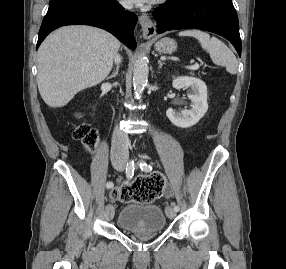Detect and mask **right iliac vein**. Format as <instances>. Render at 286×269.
<instances>
[{
    "label": "right iliac vein",
    "instance_id": "63e3f726",
    "mask_svg": "<svg viewBox=\"0 0 286 269\" xmlns=\"http://www.w3.org/2000/svg\"><path fill=\"white\" fill-rule=\"evenodd\" d=\"M114 213H115L114 207H113L111 204H108V205L105 207V211H104V216H105V218H106L107 220L113 219Z\"/></svg>",
    "mask_w": 286,
    "mask_h": 269
}]
</instances>
